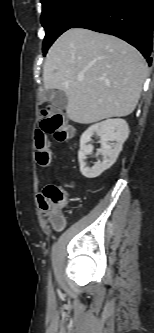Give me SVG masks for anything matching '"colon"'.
<instances>
[{"instance_id":"5ec220e1","label":"colon","mask_w":154,"mask_h":333,"mask_svg":"<svg viewBox=\"0 0 154 333\" xmlns=\"http://www.w3.org/2000/svg\"><path fill=\"white\" fill-rule=\"evenodd\" d=\"M74 130L65 117L60 113L46 115L40 127L34 134L35 158L40 167H47L51 163V151L47 136L52 135L57 141L64 142L73 137ZM41 212L50 218L55 228L64 224L61 214L66 203V191L62 186L50 184L38 195Z\"/></svg>"}]
</instances>
